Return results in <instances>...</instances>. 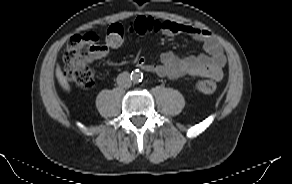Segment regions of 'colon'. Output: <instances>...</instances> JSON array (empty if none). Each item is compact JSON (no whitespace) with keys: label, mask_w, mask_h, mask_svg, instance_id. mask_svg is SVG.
I'll return each instance as SVG.
<instances>
[{"label":"colon","mask_w":292,"mask_h":184,"mask_svg":"<svg viewBox=\"0 0 292 184\" xmlns=\"http://www.w3.org/2000/svg\"><path fill=\"white\" fill-rule=\"evenodd\" d=\"M140 34L155 33L158 31L157 23L151 19H141L137 24ZM126 29L121 24H112L105 36L104 43L99 41L93 33L76 35L71 38L63 55L64 70L67 78L81 88H91L95 77L89 62L105 53L109 48H117L124 42ZM197 90L204 94L214 93L217 84L208 79L200 80Z\"/></svg>","instance_id":"1"}]
</instances>
